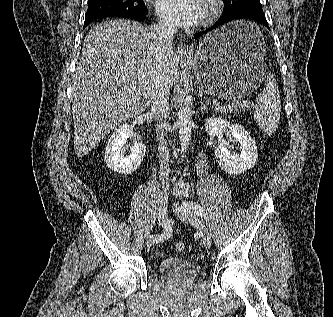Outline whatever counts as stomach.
Masks as SVG:
<instances>
[{"instance_id": "obj_1", "label": "stomach", "mask_w": 333, "mask_h": 317, "mask_svg": "<svg viewBox=\"0 0 333 317\" xmlns=\"http://www.w3.org/2000/svg\"><path fill=\"white\" fill-rule=\"evenodd\" d=\"M260 24L235 21L207 34L191 60L199 88L224 100L259 95L265 75Z\"/></svg>"}]
</instances>
